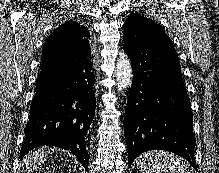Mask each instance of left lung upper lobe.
Masks as SVG:
<instances>
[{
    "label": "left lung upper lobe",
    "instance_id": "5c2ea615",
    "mask_svg": "<svg viewBox=\"0 0 219 173\" xmlns=\"http://www.w3.org/2000/svg\"><path fill=\"white\" fill-rule=\"evenodd\" d=\"M124 40L134 43L171 45V39L162 27L138 13L131 14L124 23Z\"/></svg>",
    "mask_w": 219,
    "mask_h": 173
}]
</instances>
